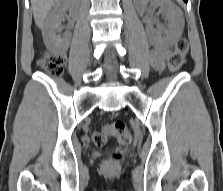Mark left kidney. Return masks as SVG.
Returning <instances> with one entry per match:
<instances>
[{"instance_id":"obj_1","label":"left kidney","mask_w":223,"mask_h":191,"mask_svg":"<svg viewBox=\"0 0 223 191\" xmlns=\"http://www.w3.org/2000/svg\"><path fill=\"white\" fill-rule=\"evenodd\" d=\"M137 9L144 12L148 6L160 8L166 20L165 26H159L155 30L151 25L147 27V33L154 45L170 47L180 37L184 21L181 11L169 0H136Z\"/></svg>"}]
</instances>
